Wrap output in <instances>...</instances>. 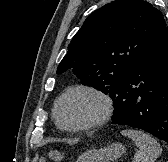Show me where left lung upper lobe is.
Returning <instances> with one entry per match:
<instances>
[{"label":"left lung upper lobe","instance_id":"left-lung-upper-lobe-1","mask_svg":"<svg viewBox=\"0 0 168 162\" xmlns=\"http://www.w3.org/2000/svg\"><path fill=\"white\" fill-rule=\"evenodd\" d=\"M164 26L162 13L147 1L108 3L93 12L72 38L57 74L70 70L83 85L113 98Z\"/></svg>","mask_w":168,"mask_h":162}]
</instances>
